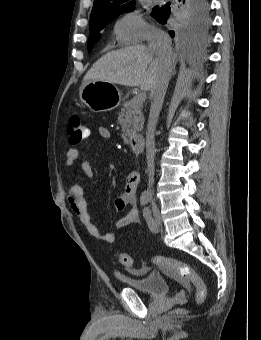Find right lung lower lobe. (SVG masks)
<instances>
[{"label":"right lung lower lobe","mask_w":261,"mask_h":340,"mask_svg":"<svg viewBox=\"0 0 261 340\" xmlns=\"http://www.w3.org/2000/svg\"><path fill=\"white\" fill-rule=\"evenodd\" d=\"M191 0H177V8L178 10L183 8L184 6H186L188 4V2ZM203 5L204 7L209 10V3L208 0H203ZM177 10V11H178ZM158 14L154 17L159 23L161 24H166L168 18L170 17L171 13L170 9L168 8H159L158 9ZM177 13V12H176ZM175 33V32H174ZM169 34L171 35V37H174L175 35L173 34V31H170Z\"/></svg>","instance_id":"1"}]
</instances>
